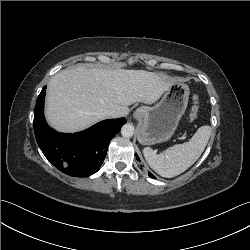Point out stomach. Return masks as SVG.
I'll return each mask as SVG.
<instances>
[{"instance_id": "stomach-1", "label": "stomach", "mask_w": 250, "mask_h": 250, "mask_svg": "<svg viewBox=\"0 0 250 250\" xmlns=\"http://www.w3.org/2000/svg\"><path fill=\"white\" fill-rule=\"evenodd\" d=\"M189 87L176 82L153 107L142 106L136 110L141 120L138 141L144 145L166 142L174 135L189 99Z\"/></svg>"}]
</instances>
